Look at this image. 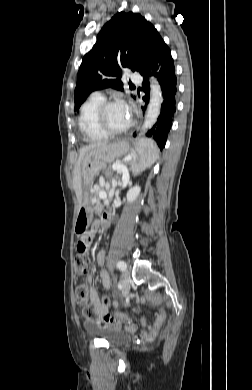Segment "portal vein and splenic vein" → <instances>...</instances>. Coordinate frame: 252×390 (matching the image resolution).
<instances>
[{"label":"portal vein and splenic vein","instance_id":"1","mask_svg":"<svg viewBox=\"0 0 252 390\" xmlns=\"http://www.w3.org/2000/svg\"><path fill=\"white\" fill-rule=\"evenodd\" d=\"M132 158L131 157H128V158H125L124 159V161H129V160H131ZM112 169L113 170H116L118 173H123V177H124V179L125 178H128V171H127V169H126V167L123 165V164H120V163H114L113 165H112ZM110 185L109 184H106V187H109ZM114 186H116V184H114L113 185V187ZM106 193H101L100 194V197L101 198H106Z\"/></svg>","mask_w":252,"mask_h":390}]
</instances>
